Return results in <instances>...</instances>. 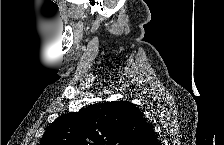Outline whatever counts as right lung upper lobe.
<instances>
[{
    "instance_id": "1",
    "label": "right lung upper lobe",
    "mask_w": 224,
    "mask_h": 145,
    "mask_svg": "<svg viewBox=\"0 0 224 145\" xmlns=\"http://www.w3.org/2000/svg\"><path fill=\"white\" fill-rule=\"evenodd\" d=\"M158 145L152 126L128 101L93 104L57 118L40 145Z\"/></svg>"
}]
</instances>
